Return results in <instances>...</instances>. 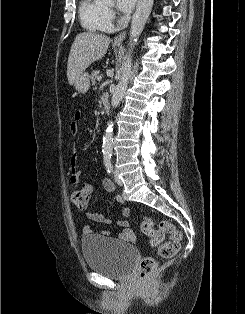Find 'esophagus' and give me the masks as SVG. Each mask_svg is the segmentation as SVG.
Returning a JSON list of instances; mask_svg holds the SVG:
<instances>
[{"mask_svg": "<svg viewBox=\"0 0 245 314\" xmlns=\"http://www.w3.org/2000/svg\"><path fill=\"white\" fill-rule=\"evenodd\" d=\"M125 37H126V31H123L114 38L113 42L115 44H120L124 41Z\"/></svg>", "mask_w": 245, "mask_h": 314, "instance_id": "obj_1", "label": "esophagus"}]
</instances>
